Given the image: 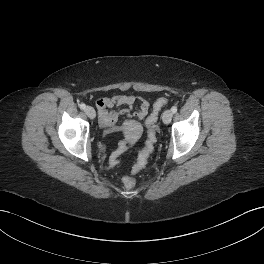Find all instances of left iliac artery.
<instances>
[{
	"label": "left iliac artery",
	"mask_w": 264,
	"mask_h": 264,
	"mask_svg": "<svg viewBox=\"0 0 264 264\" xmlns=\"http://www.w3.org/2000/svg\"><path fill=\"white\" fill-rule=\"evenodd\" d=\"M171 111H172L173 113H176V112H177V107H176V106H173V107L171 108Z\"/></svg>",
	"instance_id": "44dca946"
}]
</instances>
